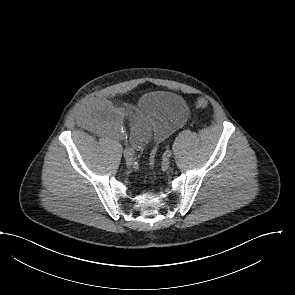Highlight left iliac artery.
I'll return each mask as SVG.
<instances>
[{
  "label": "left iliac artery",
  "mask_w": 295,
  "mask_h": 295,
  "mask_svg": "<svg viewBox=\"0 0 295 295\" xmlns=\"http://www.w3.org/2000/svg\"><path fill=\"white\" fill-rule=\"evenodd\" d=\"M171 154H172L171 150H167V151L165 152V155H166L167 157H170Z\"/></svg>",
  "instance_id": "44dca946"
}]
</instances>
